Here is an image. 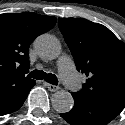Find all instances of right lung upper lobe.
Wrapping results in <instances>:
<instances>
[{"label":"right lung upper lobe","instance_id":"1","mask_svg":"<svg viewBox=\"0 0 125 125\" xmlns=\"http://www.w3.org/2000/svg\"><path fill=\"white\" fill-rule=\"evenodd\" d=\"M56 17L23 12L0 14V91L33 82L29 72V46L52 29Z\"/></svg>","mask_w":125,"mask_h":125}]
</instances>
